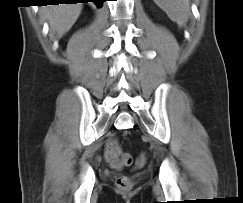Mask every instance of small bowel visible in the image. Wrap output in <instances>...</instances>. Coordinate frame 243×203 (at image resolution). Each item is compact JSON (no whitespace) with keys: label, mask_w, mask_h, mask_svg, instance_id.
<instances>
[{"label":"small bowel","mask_w":243,"mask_h":203,"mask_svg":"<svg viewBox=\"0 0 243 203\" xmlns=\"http://www.w3.org/2000/svg\"><path fill=\"white\" fill-rule=\"evenodd\" d=\"M119 152L118 144L115 140L109 141L105 147V159L109 165L115 169L122 168L123 165L117 162V154Z\"/></svg>","instance_id":"obj_1"}]
</instances>
